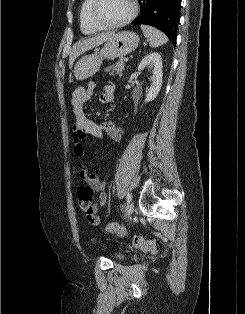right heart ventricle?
<instances>
[{
  "label": "right heart ventricle",
  "instance_id": "right-heart-ventricle-1",
  "mask_svg": "<svg viewBox=\"0 0 245 314\" xmlns=\"http://www.w3.org/2000/svg\"><path fill=\"white\" fill-rule=\"evenodd\" d=\"M92 3L93 0H83L80 7V28L84 34H94L102 30V28L97 26L91 18Z\"/></svg>",
  "mask_w": 245,
  "mask_h": 314
}]
</instances>
